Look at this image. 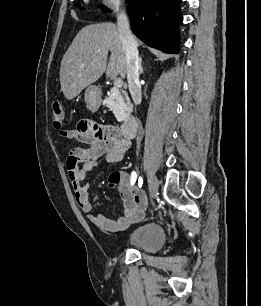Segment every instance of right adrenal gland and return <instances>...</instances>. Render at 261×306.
I'll return each mask as SVG.
<instances>
[{"mask_svg":"<svg viewBox=\"0 0 261 306\" xmlns=\"http://www.w3.org/2000/svg\"><path fill=\"white\" fill-rule=\"evenodd\" d=\"M139 71H140V74L143 73L142 59L141 58H140Z\"/></svg>","mask_w":261,"mask_h":306,"instance_id":"right-adrenal-gland-1","label":"right adrenal gland"}]
</instances>
